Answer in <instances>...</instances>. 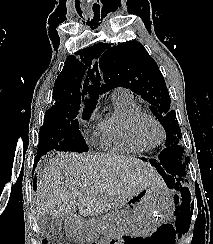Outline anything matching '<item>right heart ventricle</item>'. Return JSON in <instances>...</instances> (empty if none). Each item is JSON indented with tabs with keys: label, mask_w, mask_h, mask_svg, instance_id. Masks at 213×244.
<instances>
[{
	"label": "right heart ventricle",
	"mask_w": 213,
	"mask_h": 244,
	"mask_svg": "<svg viewBox=\"0 0 213 244\" xmlns=\"http://www.w3.org/2000/svg\"><path fill=\"white\" fill-rule=\"evenodd\" d=\"M114 112L103 118L95 130V139L107 151L116 153H144L151 147L137 140L130 129L132 119L142 113L133 97H112Z\"/></svg>",
	"instance_id": "e07e8e85"
}]
</instances>
